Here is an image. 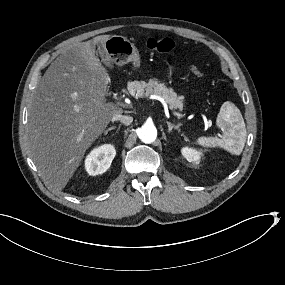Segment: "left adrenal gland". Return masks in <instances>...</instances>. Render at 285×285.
Returning a JSON list of instances; mask_svg holds the SVG:
<instances>
[{"mask_svg": "<svg viewBox=\"0 0 285 285\" xmlns=\"http://www.w3.org/2000/svg\"><path fill=\"white\" fill-rule=\"evenodd\" d=\"M168 125V134H171L173 130H179L181 127V124H179L177 127H175L171 122L166 121Z\"/></svg>", "mask_w": 285, "mask_h": 285, "instance_id": "obj_1", "label": "left adrenal gland"}]
</instances>
